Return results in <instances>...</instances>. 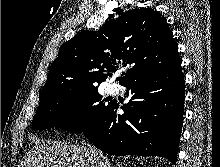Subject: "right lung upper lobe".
<instances>
[{"instance_id":"cb5924a9","label":"right lung upper lobe","mask_w":220,"mask_h":167,"mask_svg":"<svg viewBox=\"0 0 220 167\" xmlns=\"http://www.w3.org/2000/svg\"><path fill=\"white\" fill-rule=\"evenodd\" d=\"M180 63L172 29L157 11L138 8L121 13L98 31L84 30L65 42L51 64L40 102L65 90L95 87L119 66L130 67L119 84Z\"/></svg>"}]
</instances>
